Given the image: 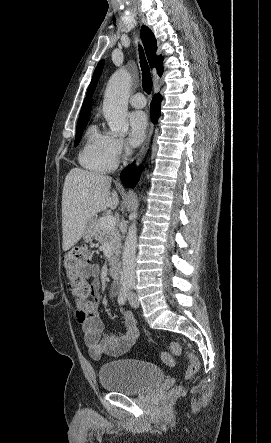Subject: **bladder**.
Returning <instances> with one entry per match:
<instances>
[{
  "label": "bladder",
  "instance_id": "1",
  "mask_svg": "<svg viewBox=\"0 0 271 443\" xmlns=\"http://www.w3.org/2000/svg\"><path fill=\"white\" fill-rule=\"evenodd\" d=\"M98 376L104 389L134 394L158 385L163 379V372L152 363L122 358L103 364Z\"/></svg>",
  "mask_w": 271,
  "mask_h": 443
}]
</instances>
